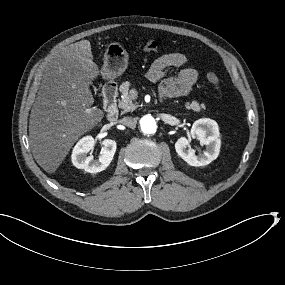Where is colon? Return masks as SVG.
I'll use <instances>...</instances> for the list:
<instances>
[{
    "instance_id": "5ec220e1",
    "label": "colon",
    "mask_w": 285,
    "mask_h": 285,
    "mask_svg": "<svg viewBox=\"0 0 285 285\" xmlns=\"http://www.w3.org/2000/svg\"><path fill=\"white\" fill-rule=\"evenodd\" d=\"M138 45L141 50L147 53L155 52L158 49V43L154 40H141L139 41ZM206 78L208 82L211 83L217 91H220V79L215 73H207ZM219 96L221 97L222 94L219 93Z\"/></svg>"
}]
</instances>
